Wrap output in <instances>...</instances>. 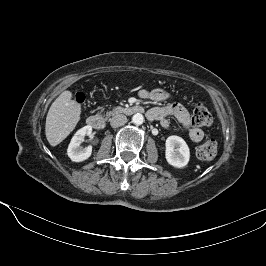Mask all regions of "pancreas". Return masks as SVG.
<instances>
[{"label": "pancreas", "mask_w": 266, "mask_h": 266, "mask_svg": "<svg viewBox=\"0 0 266 266\" xmlns=\"http://www.w3.org/2000/svg\"><path fill=\"white\" fill-rule=\"evenodd\" d=\"M101 111H103V109ZM115 112H116V109H113L112 111H108L107 116H110L111 114H114Z\"/></svg>", "instance_id": "cf45deb5"}]
</instances>
